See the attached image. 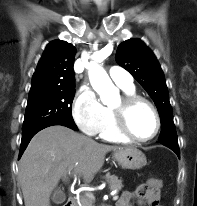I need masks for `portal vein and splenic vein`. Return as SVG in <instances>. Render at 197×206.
Segmentation results:
<instances>
[{
  "mask_svg": "<svg viewBox=\"0 0 197 206\" xmlns=\"http://www.w3.org/2000/svg\"><path fill=\"white\" fill-rule=\"evenodd\" d=\"M118 199V195L114 194L113 195V200H117Z\"/></svg>",
  "mask_w": 197,
  "mask_h": 206,
  "instance_id": "obj_1",
  "label": "portal vein and splenic vein"
}]
</instances>
